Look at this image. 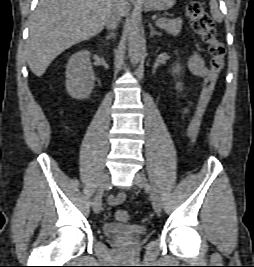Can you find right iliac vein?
I'll return each mask as SVG.
<instances>
[{"mask_svg":"<svg viewBox=\"0 0 254 267\" xmlns=\"http://www.w3.org/2000/svg\"><path fill=\"white\" fill-rule=\"evenodd\" d=\"M109 180H110L109 174L103 175V177L100 180L99 189H98V191H97V193L93 199V202H92L93 209L96 213H99L101 211L102 194H103L104 190L108 187Z\"/></svg>","mask_w":254,"mask_h":267,"instance_id":"right-iliac-vein-1","label":"right iliac vein"}]
</instances>
